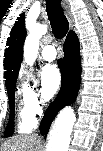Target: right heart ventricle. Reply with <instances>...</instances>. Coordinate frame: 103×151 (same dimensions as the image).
<instances>
[{
    "label": "right heart ventricle",
    "instance_id": "obj_1",
    "mask_svg": "<svg viewBox=\"0 0 103 151\" xmlns=\"http://www.w3.org/2000/svg\"><path fill=\"white\" fill-rule=\"evenodd\" d=\"M36 124V120L30 117L24 109H19L18 112V128L20 132H29L31 131Z\"/></svg>",
    "mask_w": 103,
    "mask_h": 151
}]
</instances>
